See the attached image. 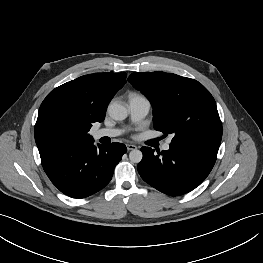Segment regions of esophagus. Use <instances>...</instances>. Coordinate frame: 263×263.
<instances>
[{
	"label": "esophagus",
	"mask_w": 263,
	"mask_h": 263,
	"mask_svg": "<svg viewBox=\"0 0 263 263\" xmlns=\"http://www.w3.org/2000/svg\"><path fill=\"white\" fill-rule=\"evenodd\" d=\"M126 146L128 151L137 149V146L134 144H127Z\"/></svg>",
	"instance_id": "esophagus-1"
}]
</instances>
